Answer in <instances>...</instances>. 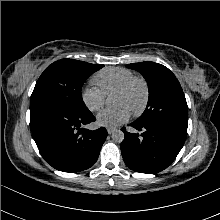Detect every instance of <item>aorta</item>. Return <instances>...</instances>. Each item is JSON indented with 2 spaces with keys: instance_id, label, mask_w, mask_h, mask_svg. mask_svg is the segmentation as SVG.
<instances>
[{
  "instance_id": "762f6f07",
  "label": "aorta",
  "mask_w": 220,
  "mask_h": 220,
  "mask_svg": "<svg viewBox=\"0 0 220 220\" xmlns=\"http://www.w3.org/2000/svg\"><path fill=\"white\" fill-rule=\"evenodd\" d=\"M109 103L110 101L107 100V104ZM112 139L117 143H121L124 140V133L121 130H116L112 133Z\"/></svg>"
}]
</instances>
